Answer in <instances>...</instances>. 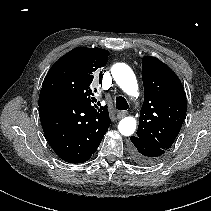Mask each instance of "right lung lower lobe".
<instances>
[{
    "mask_svg": "<svg viewBox=\"0 0 211 211\" xmlns=\"http://www.w3.org/2000/svg\"><path fill=\"white\" fill-rule=\"evenodd\" d=\"M38 105L44 134L55 153L69 163L89 160L110 121L86 112L74 98L49 89H41Z\"/></svg>",
    "mask_w": 211,
    "mask_h": 211,
    "instance_id": "98d812e1",
    "label": "right lung lower lobe"
}]
</instances>
